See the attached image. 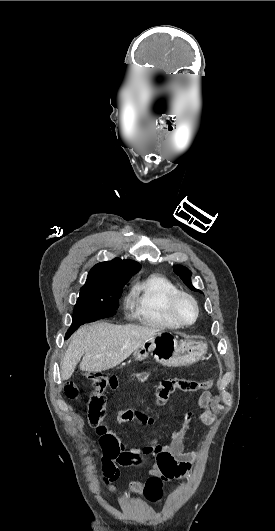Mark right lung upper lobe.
Instances as JSON below:
<instances>
[{
    "instance_id": "obj_1",
    "label": "right lung upper lobe",
    "mask_w": 275,
    "mask_h": 531,
    "mask_svg": "<svg viewBox=\"0 0 275 531\" xmlns=\"http://www.w3.org/2000/svg\"><path fill=\"white\" fill-rule=\"evenodd\" d=\"M139 268L140 264L136 261L115 258L96 264L90 270L86 282L128 281L130 276L136 273Z\"/></svg>"
}]
</instances>
